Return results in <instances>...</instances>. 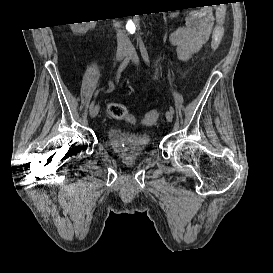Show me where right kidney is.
<instances>
[{
  "label": "right kidney",
  "instance_id": "obj_1",
  "mask_svg": "<svg viewBox=\"0 0 273 273\" xmlns=\"http://www.w3.org/2000/svg\"><path fill=\"white\" fill-rule=\"evenodd\" d=\"M95 25H96L95 21H91L90 23L82 22V24L75 23L72 27V30L78 33H86L89 29L95 27Z\"/></svg>",
  "mask_w": 273,
  "mask_h": 273
}]
</instances>
